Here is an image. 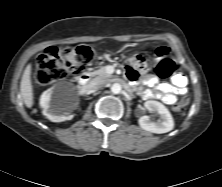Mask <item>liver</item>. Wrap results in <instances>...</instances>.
I'll list each match as a JSON object with an SVG mask.
<instances>
[{
    "instance_id": "liver-1",
    "label": "liver",
    "mask_w": 222,
    "mask_h": 187,
    "mask_svg": "<svg viewBox=\"0 0 222 187\" xmlns=\"http://www.w3.org/2000/svg\"><path fill=\"white\" fill-rule=\"evenodd\" d=\"M32 66L28 64L24 70L23 76L20 82L21 97L28 108H31L34 103L33 86L31 81Z\"/></svg>"
}]
</instances>
